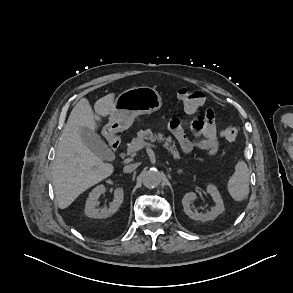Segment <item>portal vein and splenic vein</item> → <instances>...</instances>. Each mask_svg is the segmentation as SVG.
Masks as SVG:
<instances>
[{"instance_id": "obj_1", "label": "portal vein and splenic vein", "mask_w": 293, "mask_h": 293, "mask_svg": "<svg viewBox=\"0 0 293 293\" xmlns=\"http://www.w3.org/2000/svg\"><path fill=\"white\" fill-rule=\"evenodd\" d=\"M144 147H152V148H157L156 145H153V144H150V143H147L145 141H141L139 142L136 146H135V151H138L140 149H143Z\"/></svg>"}]
</instances>
